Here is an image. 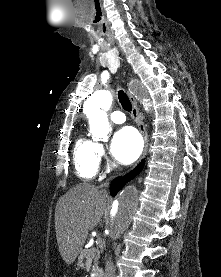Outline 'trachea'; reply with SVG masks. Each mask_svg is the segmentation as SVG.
Here are the masks:
<instances>
[{
    "instance_id": "1",
    "label": "trachea",
    "mask_w": 221,
    "mask_h": 277,
    "mask_svg": "<svg viewBox=\"0 0 221 277\" xmlns=\"http://www.w3.org/2000/svg\"><path fill=\"white\" fill-rule=\"evenodd\" d=\"M118 99L125 111L130 112L132 110L131 102L123 90L118 91Z\"/></svg>"
}]
</instances>
